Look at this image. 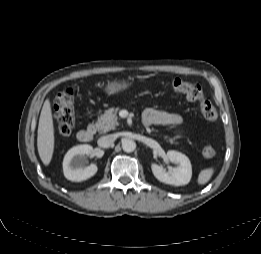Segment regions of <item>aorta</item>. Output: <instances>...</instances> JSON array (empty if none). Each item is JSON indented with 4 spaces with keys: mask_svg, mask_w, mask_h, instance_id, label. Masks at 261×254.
<instances>
[{
    "mask_svg": "<svg viewBox=\"0 0 261 254\" xmlns=\"http://www.w3.org/2000/svg\"><path fill=\"white\" fill-rule=\"evenodd\" d=\"M136 148V143L131 139H125L122 141V149L124 152H133Z\"/></svg>",
    "mask_w": 261,
    "mask_h": 254,
    "instance_id": "obj_1",
    "label": "aorta"
}]
</instances>
